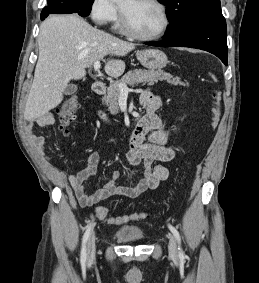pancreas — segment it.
I'll return each instance as SVG.
<instances>
[{"instance_id":"1","label":"pancreas","mask_w":259,"mask_h":283,"mask_svg":"<svg viewBox=\"0 0 259 283\" xmlns=\"http://www.w3.org/2000/svg\"><path fill=\"white\" fill-rule=\"evenodd\" d=\"M162 80H166L173 85L186 86V83L179 77H173L169 73L155 70L135 69L126 73L121 80L110 85L107 89V94L102 98V101L108 106L110 113L116 115L119 112L118 100L121 94L118 84L134 85L138 83H148V85H153Z\"/></svg>"}]
</instances>
